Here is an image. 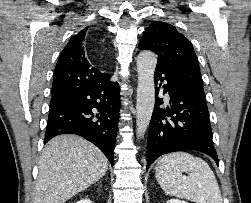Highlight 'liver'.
I'll list each match as a JSON object with an SVG mask.
<instances>
[{
  "mask_svg": "<svg viewBox=\"0 0 251 203\" xmlns=\"http://www.w3.org/2000/svg\"><path fill=\"white\" fill-rule=\"evenodd\" d=\"M108 160L76 135H60L45 146L39 161L35 203H65L101 179Z\"/></svg>",
  "mask_w": 251,
  "mask_h": 203,
  "instance_id": "6515ba94",
  "label": "liver"
}]
</instances>
